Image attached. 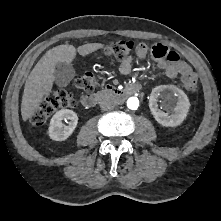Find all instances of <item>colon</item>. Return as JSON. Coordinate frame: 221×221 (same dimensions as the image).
<instances>
[{"label":"colon","mask_w":221,"mask_h":221,"mask_svg":"<svg viewBox=\"0 0 221 221\" xmlns=\"http://www.w3.org/2000/svg\"><path fill=\"white\" fill-rule=\"evenodd\" d=\"M135 48L132 40H120L108 45L104 49L107 56L118 60H125ZM96 80L91 73H85L76 81V86L84 92H91L94 89ZM182 83L186 90L194 92L198 88L197 76L194 73L183 75ZM74 96L65 90H56L50 92L39 104L38 108L31 116V123L34 126L43 125L48 117L58 109L68 108L75 105Z\"/></svg>","instance_id":"5ec220e1"}]
</instances>
